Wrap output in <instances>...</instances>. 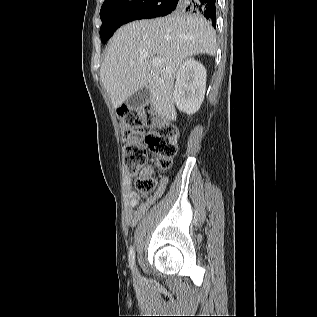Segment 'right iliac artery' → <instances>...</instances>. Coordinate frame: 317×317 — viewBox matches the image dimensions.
Returning <instances> with one entry per match:
<instances>
[{"mask_svg":"<svg viewBox=\"0 0 317 317\" xmlns=\"http://www.w3.org/2000/svg\"><path fill=\"white\" fill-rule=\"evenodd\" d=\"M129 263H130L131 269L133 270L134 263H135V251L133 247H131L129 250Z\"/></svg>","mask_w":317,"mask_h":317,"instance_id":"82829eb1","label":"right iliac artery"}]
</instances>
